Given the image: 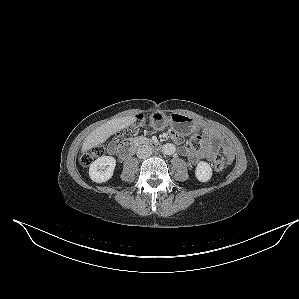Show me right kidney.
<instances>
[{
	"label": "right kidney",
	"instance_id": "1",
	"mask_svg": "<svg viewBox=\"0 0 299 299\" xmlns=\"http://www.w3.org/2000/svg\"><path fill=\"white\" fill-rule=\"evenodd\" d=\"M116 166L112 156H102L96 159L89 168V176L96 183H103L111 179Z\"/></svg>",
	"mask_w": 299,
	"mask_h": 299
}]
</instances>
